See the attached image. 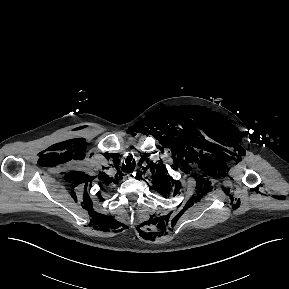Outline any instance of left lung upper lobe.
Instances as JSON below:
<instances>
[{
    "label": "left lung upper lobe",
    "mask_w": 289,
    "mask_h": 289,
    "mask_svg": "<svg viewBox=\"0 0 289 289\" xmlns=\"http://www.w3.org/2000/svg\"><path fill=\"white\" fill-rule=\"evenodd\" d=\"M159 174L155 177L154 179V189L158 190L160 194L162 195H166L167 193H171V188H170V184L172 181V179H170L168 177V175H166V170L163 167H161L159 170ZM177 192V187L174 190V194Z\"/></svg>",
    "instance_id": "1"
}]
</instances>
